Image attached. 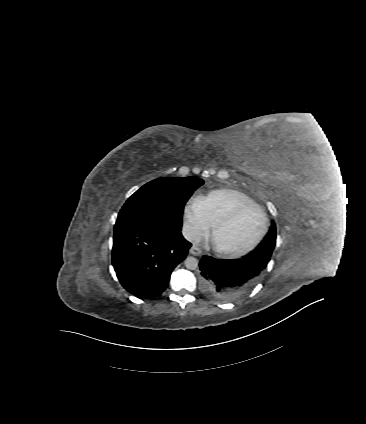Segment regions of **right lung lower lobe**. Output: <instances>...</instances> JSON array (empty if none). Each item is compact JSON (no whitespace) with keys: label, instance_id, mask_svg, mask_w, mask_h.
<instances>
[{"label":"right lung lower lobe","instance_id":"right-lung-lower-lobe-1","mask_svg":"<svg viewBox=\"0 0 366 424\" xmlns=\"http://www.w3.org/2000/svg\"><path fill=\"white\" fill-rule=\"evenodd\" d=\"M190 247L180 231L157 223L115 225L112 264L128 292L150 299L166 289L172 270L186 258Z\"/></svg>","mask_w":366,"mask_h":424}]
</instances>
